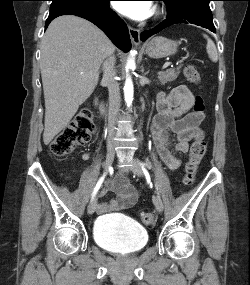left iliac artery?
<instances>
[{"mask_svg": "<svg viewBox=\"0 0 250 285\" xmlns=\"http://www.w3.org/2000/svg\"><path fill=\"white\" fill-rule=\"evenodd\" d=\"M141 165H142V168L145 166V164H144V163H141Z\"/></svg>", "mask_w": 250, "mask_h": 285, "instance_id": "obj_1", "label": "left iliac artery"}]
</instances>
